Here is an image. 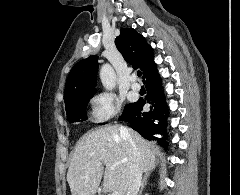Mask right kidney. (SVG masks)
<instances>
[{
	"label": "right kidney",
	"instance_id": "right-kidney-1",
	"mask_svg": "<svg viewBox=\"0 0 240 195\" xmlns=\"http://www.w3.org/2000/svg\"><path fill=\"white\" fill-rule=\"evenodd\" d=\"M145 195H149V193H145Z\"/></svg>",
	"mask_w": 240,
	"mask_h": 195
}]
</instances>
